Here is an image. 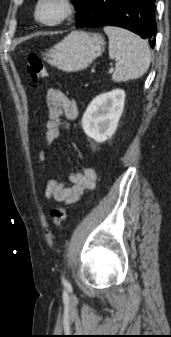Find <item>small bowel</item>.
<instances>
[{"label": "small bowel", "instance_id": "small-bowel-1", "mask_svg": "<svg viewBox=\"0 0 171 337\" xmlns=\"http://www.w3.org/2000/svg\"><path fill=\"white\" fill-rule=\"evenodd\" d=\"M46 102L48 109L47 132L43 146L38 152L42 168H44L47 158L46 149L59 137L61 130L69 128L67 121L74 120L78 115L75 100L60 89L49 88L46 92ZM96 179V171L91 167H83L79 171L72 172L65 180L52 178L47 183L44 199L73 204L79 200L85 190L94 188Z\"/></svg>", "mask_w": 171, "mask_h": 337}]
</instances>
